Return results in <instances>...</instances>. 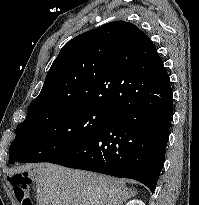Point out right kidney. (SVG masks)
<instances>
[{
    "label": "right kidney",
    "instance_id": "right-kidney-1",
    "mask_svg": "<svg viewBox=\"0 0 199 205\" xmlns=\"http://www.w3.org/2000/svg\"><path fill=\"white\" fill-rule=\"evenodd\" d=\"M126 205H145L141 200L133 199L129 201Z\"/></svg>",
    "mask_w": 199,
    "mask_h": 205
}]
</instances>
